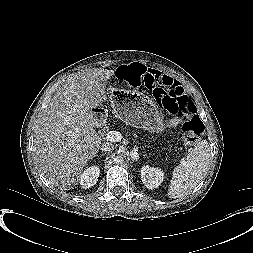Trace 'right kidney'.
<instances>
[{
  "instance_id": "right-kidney-1",
  "label": "right kidney",
  "mask_w": 253,
  "mask_h": 253,
  "mask_svg": "<svg viewBox=\"0 0 253 253\" xmlns=\"http://www.w3.org/2000/svg\"><path fill=\"white\" fill-rule=\"evenodd\" d=\"M99 174L100 169L97 166H91L85 169L79 177V183L82 188L87 189L94 186L98 181Z\"/></svg>"
}]
</instances>
